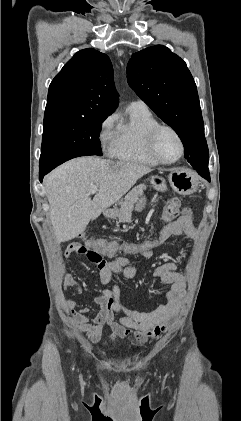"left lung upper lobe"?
Instances as JSON below:
<instances>
[{"mask_svg": "<svg viewBox=\"0 0 241 421\" xmlns=\"http://www.w3.org/2000/svg\"><path fill=\"white\" fill-rule=\"evenodd\" d=\"M127 75L136 94L177 132L187 161L208 166L200 102L186 63L167 47L156 45L132 55Z\"/></svg>", "mask_w": 241, "mask_h": 421, "instance_id": "5c2ea615", "label": "left lung upper lobe"}]
</instances>
